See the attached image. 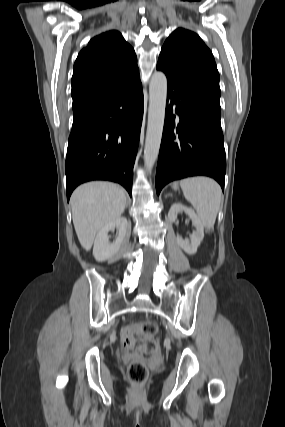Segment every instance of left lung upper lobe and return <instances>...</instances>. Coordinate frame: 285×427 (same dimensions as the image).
<instances>
[{
    "label": "left lung upper lobe",
    "mask_w": 285,
    "mask_h": 427,
    "mask_svg": "<svg viewBox=\"0 0 285 427\" xmlns=\"http://www.w3.org/2000/svg\"><path fill=\"white\" fill-rule=\"evenodd\" d=\"M157 67L175 80L220 101L219 73L214 57L195 33L176 29L165 41Z\"/></svg>",
    "instance_id": "left-lung-upper-lobe-1"
}]
</instances>
